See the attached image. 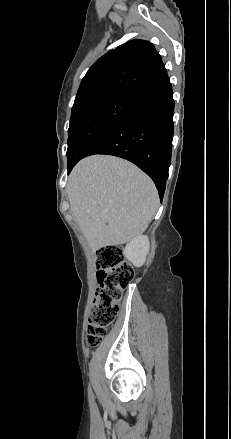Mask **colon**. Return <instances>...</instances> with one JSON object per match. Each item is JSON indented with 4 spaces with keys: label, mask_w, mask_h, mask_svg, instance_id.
<instances>
[{
    "label": "colon",
    "mask_w": 231,
    "mask_h": 439,
    "mask_svg": "<svg viewBox=\"0 0 231 439\" xmlns=\"http://www.w3.org/2000/svg\"><path fill=\"white\" fill-rule=\"evenodd\" d=\"M99 289L89 315L87 342L98 346L109 326L115 321L123 292L133 279L134 272L124 259L119 246L107 245L97 255Z\"/></svg>",
    "instance_id": "colon-1"
}]
</instances>
